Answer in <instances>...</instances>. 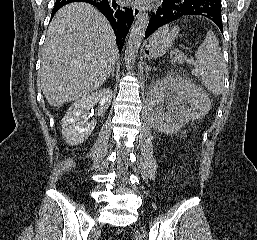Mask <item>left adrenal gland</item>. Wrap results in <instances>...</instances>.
<instances>
[{"label": "left adrenal gland", "instance_id": "1", "mask_svg": "<svg viewBox=\"0 0 257 240\" xmlns=\"http://www.w3.org/2000/svg\"><path fill=\"white\" fill-rule=\"evenodd\" d=\"M151 70V68H149V66H146V73H148V71Z\"/></svg>", "mask_w": 257, "mask_h": 240}]
</instances>
